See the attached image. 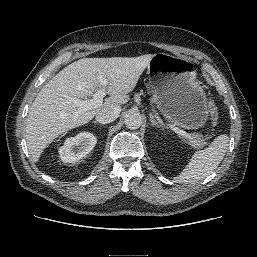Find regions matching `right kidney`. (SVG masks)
I'll use <instances>...</instances> for the list:
<instances>
[{"label": "right kidney", "instance_id": "obj_1", "mask_svg": "<svg viewBox=\"0 0 257 257\" xmlns=\"http://www.w3.org/2000/svg\"><path fill=\"white\" fill-rule=\"evenodd\" d=\"M96 137L89 132H82L75 137L65 140L58 150L59 157L64 163H75L86 156L96 145Z\"/></svg>", "mask_w": 257, "mask_h": 257}]
</instances>
